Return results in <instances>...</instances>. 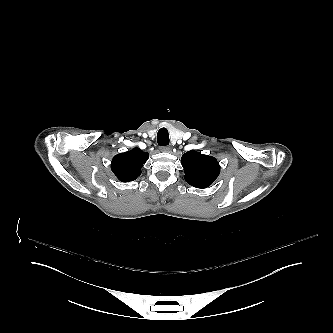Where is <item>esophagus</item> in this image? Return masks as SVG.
I'll return each mask as SVG.
<instances>
[{
	"label": "esophagus",
	"mask_w": 333,
	"mask_h": 333,
	"mask_svg": "<svg viewBox=\"0 0 333 333\" xmlns=\"http://www.w3.org/2000/svg\"><path fill=\"white\" fill-rule=\"evenodd\" d=\"M171 147L170 146H165L162 148V151L166 152V153H170L171 152Z\"/></svg>",
	"instance_id": "esophagus-1"
}]
</instances>
